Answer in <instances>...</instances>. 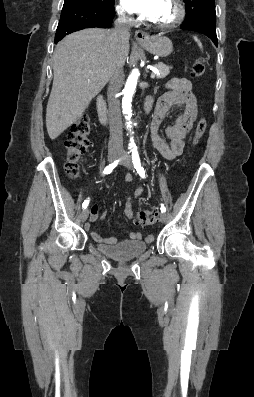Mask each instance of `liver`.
<instances>
[{
	"label": "liver",
	"mask_w": 254,
	"mask_h": 397,
	"mask_svg": "<svg viewBox=\"0 0 254 397\" xmlns=\"http://www.w3.org/2000/svg\"><path fill=\"white\" fill-rule=\"evenodd\" d=\"M115 53L123 66L129 42L117 48L112 31L84 29L67 35L53 55V85L46 109V127L54 140L81 117L110 78Z\"/></svg>",
	"instance_id": "liver-1"
}]
</instances>
